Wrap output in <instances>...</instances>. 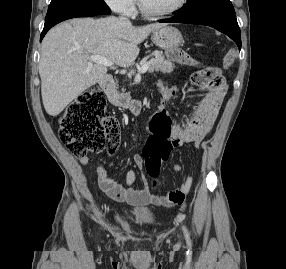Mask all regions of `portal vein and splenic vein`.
<instances>
[{"instance_id": "18ae733b", "label": "portal vein and splenic vein", "mask_w": 286, "mask_h": 269, "mask_svg": "<svg viewBox=\"0 0 286 269\" xmlns=\"http://www.w3.org/2000/svg\"><path fill=\"white\" fill-rule=\"evenodd\" d=\"M87 59L90 62L101 64L107 67L114 65L112 61L107 59L105 56H101V55H91V56H88ZM149 66H150V62H147L144 65H142L140 68H138L139 73H142V74L145 73L149 69Z\"/></svg>"}]
</instances>
